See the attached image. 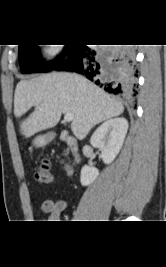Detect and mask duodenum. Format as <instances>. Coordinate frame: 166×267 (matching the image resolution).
<instances>
[{"label":"duodenum","mask_w":166,"mask_h":267,"mask_svg":"<svg viewBox=\"0 0 166 267\" xmlns=\"http://www.w3.org/2000/svg\"><path fill=\"white\" fill-rule=\"evenodd\" d=\"M60 139L67 143L69 150H70V154L72 155L74 162L79 163L81 158L79 155L78 143H77L76 139L73 138L72 136L68 135L65 132H62L60 134Z\"/></svg>","instance_id":"410a0bca"}]
</instances>
